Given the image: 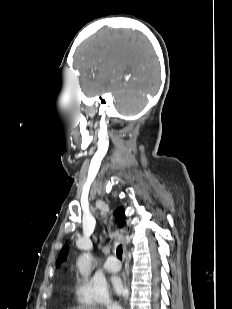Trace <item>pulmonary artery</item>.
I'll use <instances>...</instances> for the list:
<instances>
[{
    "label": "pulmonary artery",
    "mask_w": 232,
    "mask_h": 309,
    "mask_svg": "<svg viewBox=\"0 0 232 309\" xmlns=\"http://www.w3.org/2000/svg\"><path fill=\"white\" fill-rule=\"evenodd\" d=\"M103 267L106 271L115 273L118 272L121 268L120 263L116 260L115 257L109 256L103 263Z\"/></svg>",
    "instance_id": "pulmonary-artery-1"
}]
</instances>
